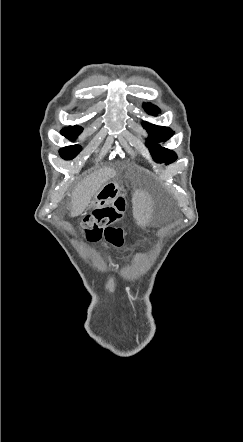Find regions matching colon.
<instances>
[{
  "label": "colon",
  "mask_w": 243,
  "mask_h": 442,
  "mask_svg": "<svg viewBox=\"0 0 243 442\" xmlns=\"http://www.w3.org/2000/svg\"><path fill=\"white\" fill-rule=\"evenodd\" d=\"M126 210L124 197H116L112 203L101 205L87 215L80 223V228L87 239L97 241L105 239L110 245L120 247L123 244V232L117 225L123 220Z\"/></svg>",
  "instance_id": "1"
}]
</instances>
